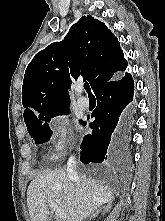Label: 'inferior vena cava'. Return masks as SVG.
I'll return each instance as SVG.
<instances>
[{
    "label": "inferior vena cava",
    "instance_id": "obj_1",
    "mask_svg": "<svg viewBox=\"0 0 165 221\" xmlns=\"http://www.w3.org/2000/svg\"><path fill=\"white\" fill-rule=\"evenodd\" d=\"M67 172H68V175L75 179L76 181V186L80 189L81 188V183H80V180L77 176V173H76V160H75V156H71L68 160V163H67Z\"/></svg>",
    "mask_w": 165,
    "mask_h": 221
}]
</instances>
